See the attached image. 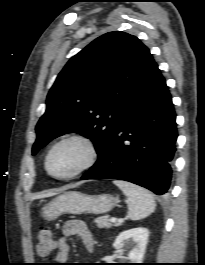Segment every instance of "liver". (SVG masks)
Returning a JSON list of instances; mask_svg holds the SVG:
<instances>
[{"instance_id":"obj_1","label":"liver","mask_w":205,"mask_h":265,"mask_svg":"<svg viewBox=\"0 0 205 265\" xmlns=\"http://www.w3.org/2000/svg\"><path fill=\"white\" fill-rule=\"evenodd\" d=\"M57 193L55 192H47V193H41L37 196L34 197V199H41V198H47L56 195Z\"/></svg>"}]
</instances>
